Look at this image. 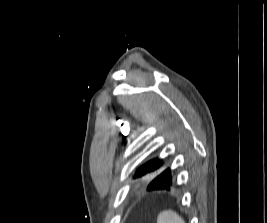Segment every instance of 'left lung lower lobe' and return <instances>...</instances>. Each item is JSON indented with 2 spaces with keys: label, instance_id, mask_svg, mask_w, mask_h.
<instances>
[{
  "label": "left lung lower lobe",
  "instance_id": "left-lung-lower-lobe-1",
  "mask_svg": "<svg viewBox=\"0 0 267 223\" xmlns=\"http://www.w3.org/2000/svg\"><path fill=\"white\" fill-rule=\"evenodd\" d=\"M181 182H175L173 173H156V178L151 182H144L142 190L146 195H172L174 187H181Z\"/></svg>",
  "mask_w": 267,
  "mask_h": 223
}]
</instances>
